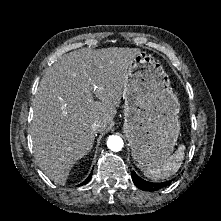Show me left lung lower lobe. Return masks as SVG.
Wrapping results in <instances>:
<instances>
[{
  "mask_svg": "<svg viewBox=\"0 0 221 221\" xmlns=\"http://www.w3.org/2000/svg\"><path fill=\"white\" fill-rule=\"evenodd\" d=\"M132 180L134 184L144 190V191H156L158 189H161L163 187H166L171 183L170 181L162 182V183H152V182H147L140 178L134 171L131 172Z\"/></svg>",
  "mask_w": 221,
  "mask_h": 221,
  "instance_id": "left-lung-lower-lobe-1",
  "label": "left lung lower lobe"
}]
</instances>
